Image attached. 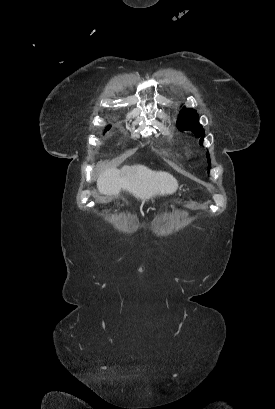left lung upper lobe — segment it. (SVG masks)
Here are the masks:
<instances>
[{
  "label": "left lung upper lobe",
  "mask_w": 275,
  "mask_h": 409,
  "mask_svg": "<svg viewBox=\"0 0 275 409\" xmlns=\"http://www.w3.org/2000/svg\"><path fill=\"white\" fill-rule=\"evenodd\" d=\"M198 119H199L198 114L194 109L183 108L178 116L177 125L181 130H191L197 137H201L199 144L202 145L204 130L202 126L199 124ZM206 156L208 163L210 164L209 153H207Z\"/></svg>",
  "instance_id": "left-lung-upper-lobe-1"
}]
</instances>
